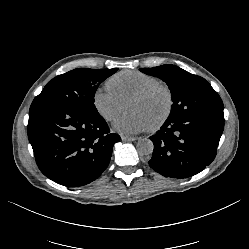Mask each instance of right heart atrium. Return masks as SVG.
<instances>
[{"mask_svg": "<svg viewBox=\"0 0 249 249\" xmlns=\"http://www.w3.org/2000/svg\"><path fill=\"white\" fill-rule=\"evenodd\" d=\"M97 114L105 121H111L118 114L123 102L108 88L97 87L92 96Z\"/></svg>", "mask_w": 249, "mask_h": 249, "instance_id": "1", "label": "right heart atrium"}]
</instances>
